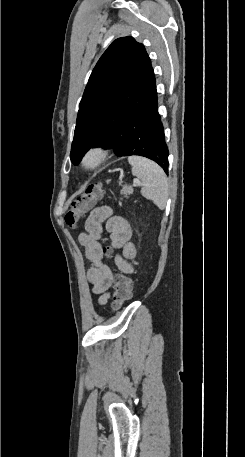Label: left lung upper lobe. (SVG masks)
Wrapping results in <instances>:
<instances>
[{"label": "left lung upper lobe", "mask_w": 245, "mask_h": 457, "mask_svg": "<svg viewBox=\"0 0 245 457\" xmlns=\"http://www.w3.org/2000/svg\"><path fill=\"white\" fill-rule=\"evenodd\" d=\"M154 85V72L145 47L132 37L113 41L93 69L79 104L70 153L72 163L98 131L123 113L142 107Z\"/></svg>", "instance_id": "left-lung-upper-lobe-1"}]
</instances>
